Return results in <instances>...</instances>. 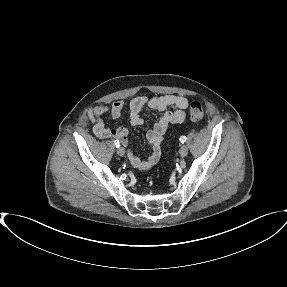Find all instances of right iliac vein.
Instances as JSON below:
<instances>
[{"instance_id":"obj_1","label":"right iliac vein","mask_w":287,"mask_h":287,"mask_svg":"<svg viewBox=\"0 0 287 287\" xmlns=\"http://www.w3.org/2000/svg\"><path fill=\"white\" fill-rule=\"evenodd\" d=\"M117 154H118L119 156H124V155H125V149H124L123 147H119V148L117 149Z\"/></svg>"}]
</instances>
